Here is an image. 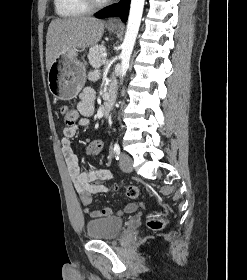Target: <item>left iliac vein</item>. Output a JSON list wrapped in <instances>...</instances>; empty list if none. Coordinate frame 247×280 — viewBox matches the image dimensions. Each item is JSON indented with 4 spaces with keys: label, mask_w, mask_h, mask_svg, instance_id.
Instances as JSON below:
<instances>
[{
    "label": "left iliac vein",
    "mask_w": 247,
    "mask_h": 280,
    "mask_svg": "<svg viewBox=\"0 0 247 280\" xmlns=\"http://www.w3.org/2000/svg\"><path fill=\"white\" fill-rule=\"evenodd\" d=\"M119 165H120L121 170L124 172L129 173L133 170L132 158L125 153L121 154L120 160H119Z\"/></svg>",
    "instance_id": "obj_1"
}]
</instances>
